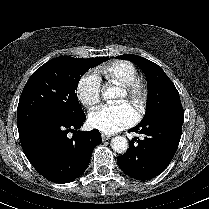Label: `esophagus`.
Listing matches in <instances>:
<instances>
[{"instance_id":"34e87169","label":"esophagus","mask_w":209,"mask_h":209,"mask_svg":"<svg viewBox=\"0 0 209 209\" xmlns=\"http://www.w3.org/2000/svg\"><path fill=\"white\" fill-rule=\"evenodd\" d=\"M101 137L103 141L109 140L111 138L110 136L105 135V134H102Z\"/></svg>"}]
</instances>
